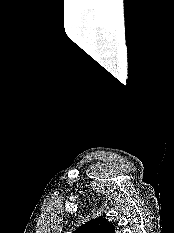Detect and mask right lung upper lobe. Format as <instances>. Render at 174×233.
Masks as SVG:
<instances>
[{
    "instance_id": "1",
    "label": "right lung upper lobe",
    "mask_w": 174,
    "mask_h": 233,
    "mask_svg": "<svg viewBox=\"0 0 174 233\" xmlns=\"http://www.w3.org/2000/svg\"><path fill=\"white\" fill-rule=\"evenodd\" d=\"M73 233H115V226L104 216H100L81 225Z\"/></svg>"
}]
</instances>
